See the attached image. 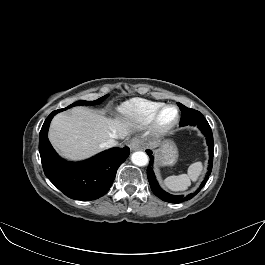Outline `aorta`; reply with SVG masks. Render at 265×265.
<instances>
[{"label":"aorta","instance_id":"762f6f07","mask_svg":"<svg viewBox=\"0 0 265 265\" xmlns=\"http://www.w3.org/2000/svg\"><path fill=\"white\" fill-rule=\"evenodd\" d=\"M131 161L138 166H145L149 162L148 155L142 151L134 152L131 156Z\"/></svg>","mask_w":265,"mask_h":265}]
</instances>
